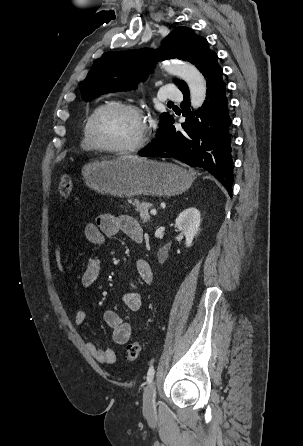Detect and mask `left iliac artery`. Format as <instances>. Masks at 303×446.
Returning <instances> with one entry per match:
<instances>
[{
	"instance_id": "obj_1",
	"label": "left iliac artery",
	"mask_w": 303,
	"mask_h": 446,
	"mask_svg": "<svg viewBox=\"0 0 303 446\" xmlns=\"http://www.w3.org/2000/svg\"><path fill=\"white\" fill-rule=\"evenodd\" d=\"M155 374L154 366L151 365L147 372V382L151 383Z\"/></svg>"
}]
</instances>
